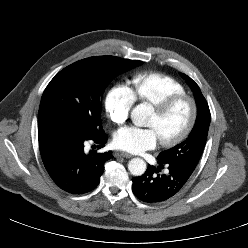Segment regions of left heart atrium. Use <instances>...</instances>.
I'll return each mask as SVG.
<instances>
[{
    "instance_id": "left-heart-atrium-1",
    "label": "left heart atrium",
    "mask_w": 248,
    "mask_h": 248,
    "mask_svg": "<svg viewBox=\"0 0 248 248\" xmlns=\"http://www.w3.org/2000/svg\"><path fill=\"white\" fill-rule=\"evenodd\" d=\"M159 142L156 131L151 128L127 126L119 129L114 136V145L121 150L140 153L153 149Z\"/></svg>"
}]
</instances>
